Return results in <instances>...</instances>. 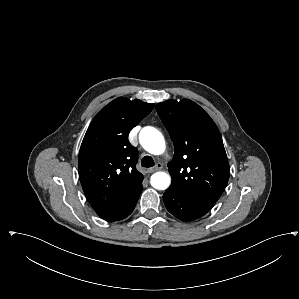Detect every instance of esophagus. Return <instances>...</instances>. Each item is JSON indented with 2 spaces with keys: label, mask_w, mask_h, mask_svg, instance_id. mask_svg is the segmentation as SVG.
Wrapping results in <instances>:
<instances>
[{
  "label": "esophagus",
  "mask_w": 299,
  "mask_h": 299,
  "mask_svg": "<svg viewBox=\"0 0 299 299\" xmlns=\"http://www.w3.org/2000/svg\"><path fill=\"white\" fill-rule=\"evenodd\" d=\"M162 168L163 165L161 163H157L155 167L148 169V173H153L155 171L162 170Z\"/></svg>",
  "instance_id": "obj_1"
}]
</instances>
